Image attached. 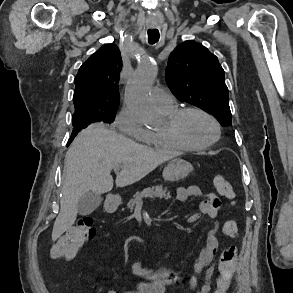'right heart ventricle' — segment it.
<instances>
[{"instance_id":"right-heart-ventricle-1","label":"right heart ventricle","mask_w":293,"mask_h":293,"mask_svg":"<svg viewBox=\"0 0 293 293\" xmlns=\"http://www.w3.org/2000/svg\"><path fill=\"white\" fill-rule=\"evenodd\" d=\"M162 113L168 118L172 114L175 113L177 107L174 105L168 109H160ZM146 144L160 150L171 151V152H179L188 150L187 147L180 144L176 140H174L170 135H168L164 129L158 131H151L150 136L147 140H145Z\"/></svg>"}]
</instances>
